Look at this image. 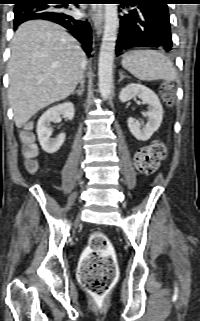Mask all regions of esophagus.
<instances>
[{"label":"esophagus","mask_w":200,"mask_h":321,"mask_svg":"<svg viewBox=\"0 0 200 321\" xmlns=\"http://www.w3.org/2000/svg\"><path fill=\"white\" fill-rule=\"evenodd\" d=\"M91 16L98 35L102 33L104 11L101 5L92 7Z\"/></svg>","instance_id":"1"}]
</instances>
